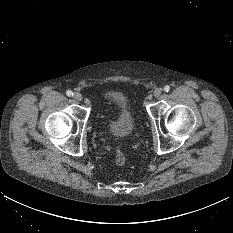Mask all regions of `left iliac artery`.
Segmentation results:
<instances>
[{"label": "left iliac artery", "mask_w": 233, "mask_h": 233, "mask_svg": "<svg viewBox=\"0 0 233 233\" xmlns=\"http://www.w3.org/2000/svg\"><path fill=\"white\" fill-rule=\"evenodd\" d=\"M169 90H170V86L166 85V86L164 87V91H165V92H168Z\"/></svg>", "instance_id": "44dca946"}]
</instances>
